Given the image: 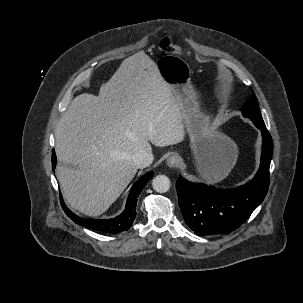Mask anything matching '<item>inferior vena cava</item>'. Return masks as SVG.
<instances>
[{"label":"inferior vena cava","mask_w":303,"mask_h":303,"mask_svg":"<svg viewBox=\"0 0 303 303\" xmlns=\"http://www.w3.org/2000/svg\"><path fill=\"white\" fill-rule=\"evenodd\" d=\"M153 161V154L145 150L137 152L133 156V162L137 168H145L149 166Z\"/></svg>","instance_id":"obj_1"}]
</instances>
